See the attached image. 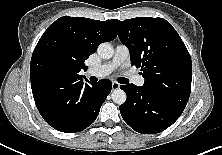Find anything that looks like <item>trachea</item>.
I'll use <instances>...</instances> for the list:
<instances>
[{
    "mask_svg": "<svg viewBox=\"0 0 222 155\" xmlns=\"http://www.w3.org/2000/svg\"><path fill=\"white\" fill-rule=\"evenodd\" d=\"M128 79H126V78H120V79H118V82L119 83H122V84H126V83H128Z\"/></svg>",
    "mask_w": 222,
    "mask_h": 155,
    "instance_id": "obj_1",
    "label": "trachea"
}]
</instances>
